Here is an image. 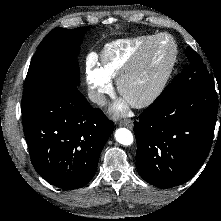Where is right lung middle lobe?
Wrapping results in <instances>:
<instances>
[{"mask_svg":"<svg viewBox=\"0 0 221 221\" xmlns=\"http://www.w3.org/2000/svg\"><path fill=\"white\" fill-rule=\"evenodd\" d=\"M89 27L55 28L39 44L25 79L21 111L45 91L60 83L79 85L80 69L76 57Z\"/></svg>","mask_w":221,"mask_h":221,"instance_id":"obj_1","label":"right lung middle lobe"}]
</instances>
